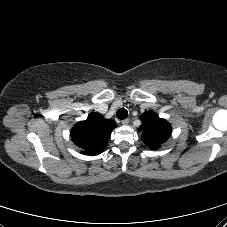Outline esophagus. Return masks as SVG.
<instances>
[{
	"instance_id": "esophagus-1",
	"label": "esophagus",
	"mask_w": 227,
	"mask_h": 227,
	"mask_svg": "<svg viewBox=\"0 0 227 227\" xmlns=\"http://www.w3.org/2000/svg\"><path fill=\"white\" fill-rule=\"evenodd\" d=\"M129 122H130L129 119H124V120L121 121V123H122L123 125H128Z\"/></svg>"
}]
</instances>
